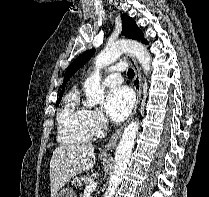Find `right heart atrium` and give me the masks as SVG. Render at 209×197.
<instances>
[{
	"label": "right heart atrium",
	"instance_id": "d8ad5b80",
	"mask_svg": "<svg viewBox=\"0 0 209 197\" xmlns=\"http://www.w3.org/2000/svg\"><path fill=\"white\" fill-rule=\"evenodd\" d=\"M89 123L94 134H100L107 125V120L99 110H89Z\"/></svg>",
	"mask_w": 209,
	"mask_h": 197
}]
</instances>
